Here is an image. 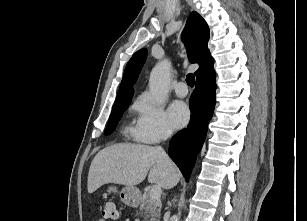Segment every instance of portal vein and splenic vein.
<instances>
[{
	"instance_id": "obj_1",
	"label": "portal vein and splenic vein",
	"mask_w": 307,
	"mask_h": 221,
	"mask_svg": "<svg viewBox=\"0 0 307 221\" xmlns=\"http://www.w3.org/2000/svg\"><path fill=\"white\" fill-rule=\"evenodd\" d=\"M162 189L159 185H153L150 190V197L152 200H159L161 197Z\"/></svg>"
}]
</instances>
